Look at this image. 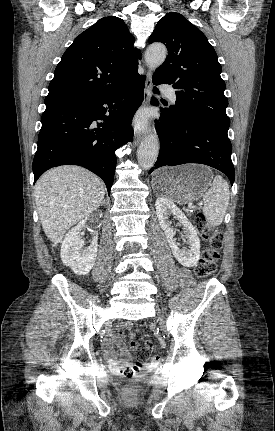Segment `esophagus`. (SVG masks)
Returning <instances> with one entry per match:
<instances>
[{
  "label": "esophagus",
  "mask_w": 275,
  "mask_h": 431,
  "mask_svg": "<svg viewBox=\"0 0 275 431\" xmlns=\"http://www.w3.org/2000/svg\"><path fill=\"white\" fill-rule=\"evenodd\" d=\"M152 88V73L148 71L146 74V81L144 86V96H143V105H146L149 101L150 92ZM143 139L142 133L135 131L134 133V144L138 145Z\"/></svg>",
  "instance_id": "obj_1"
}]
</instances>
